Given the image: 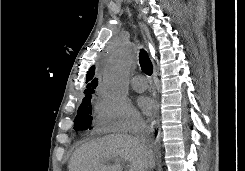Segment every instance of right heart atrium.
Wrapping results in <instances>:
<instances>
[{"label":"right heart atrium","instance_id":"right-heart-atrium-1","mask_svg":"<svg viewBox=\"0 0 245 171\" xmlns=\"http://www.w3.org/2000/svg\"><path fill=\"white\" fill-rule=\"evenodd\" d=\"M94 126L100 133H130L144 128L145 123L129 103L100 93L94 106Z\"/></svg>","mask_w":245,"mask_h":171}]
</instances>
